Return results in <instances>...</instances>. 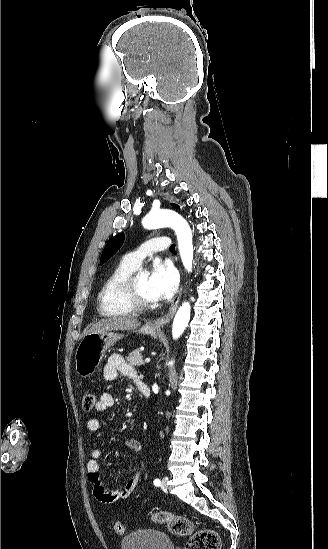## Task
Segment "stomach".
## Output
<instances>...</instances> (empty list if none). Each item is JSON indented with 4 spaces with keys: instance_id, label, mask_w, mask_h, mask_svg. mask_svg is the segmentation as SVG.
<instances>
[{
    "instance_id": "1",
    "label": "stomach",
    "mask_w": 328,
    "mask_h": 549,
    "mask_svg": "<svg viewBox=\"0 0 328 549\" xmlns=\"http://www.w3.org/2000/svg\"><path fill=\"white\" fill-rule=\"evenodd\" d=\"M142 335H151L156 337L155 327L144 325L142 329L136 331ZM123 333H113V331H103V333H88L83 337L75 353L76 373L82 379L92 377L96 373L107 349L114 345L116 341L123 339ZM127 337V335H126Z\"/></svg>"
}]
</instances>
